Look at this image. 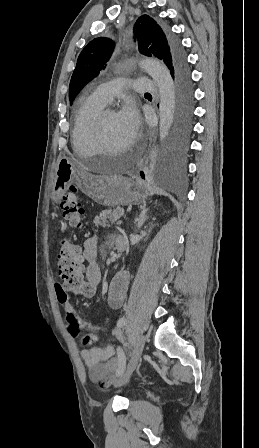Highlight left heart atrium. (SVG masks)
I'll return each instance as SVG.
<instances>
[{
    "label": "left heart atrium",
    "instance_id": "1",
    "mask_svg": "<svg viewBox=\"0 0 259 448\" xmlns=\"http://www.w3.org/2000/svg\"><path fill=\"white\" fill-rule=\"evenodd\" d=\"M120 123L127 130L131 138H135L140 128V115L132 103H126L117 113Z\"/></svg>",
    "mask_w": 259,
    "mask_h": 448
}]
</instances>
